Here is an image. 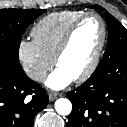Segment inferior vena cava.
I'll list each match as a JSON object with an SVG mask.
<instances>
[{
	"instance_id": "inferior-vena-cava-1",
	"label": "inferior vena cava",
	"mask_w": 127,
	"mask_h": 127,
	"mask_svg": "<svg viewBox=\"0 0 127 127\" xmlns=\"http://www.w3.org/2000/svg\"><path fill=\"white\" fill-rule=\"evenodd\" d=\"M27 75L32 80L41 81L47 76V72L45 70H29Z\"/></svg>"
}]
</instances>
